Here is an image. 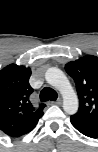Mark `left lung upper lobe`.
I'll return each instance as SVG.
<instances>
[{"mask_svg":"<svg viewBox=\"0 0 98 152\" xmlns=\"http://www.w3.org/2000/svg\"><path fill=\"white\" fill-rule=\"evenodd\" d=\"M74 79L79 110L71 119L98 126V57L87 55L65 65Z\"/></svg>","mask_w":98,"mask_h":152,"instance_id":"obj_1","label":"left lung upper lobe"}]
</instances>
